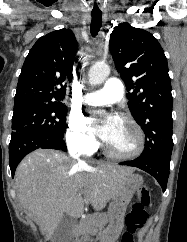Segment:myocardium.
Listing matches in <instances>:
<instances>
[{
  "label": "myocardium",
  "instance_id": "1",
  "mask_svg": "<svg viewBox=\"0 0 187 242\" xmlns=\"http://www.w3.org/2000/svg\"><path fill=\"white\" fill-rule=\"evenodd\" d=\"M118 119L130 124L137 135V146L134 150L129 152H121L117 151L113 148H111L108 144L105 146V151L108 155L115 157V158H121V159H129L134 158L142 154V152L145 149L146 139H145V133L141 125L129 114L122 113L118 116Z\"/></svg>",
  "mask_w": 187,
  "mask_h": 242
}]
</instances>
